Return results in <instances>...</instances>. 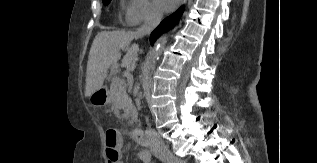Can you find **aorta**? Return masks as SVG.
<instances>
[{
	"label": "aorta",
	"instance_id": "1",
	"mask_svg": "<svg viewBox=\"0 0 317 163\" xmlns=\"http://www.w3.org/2000/svg\"><path fill=\"white\" fill-rule=\"evenodd\" d=\"M168 40L167 35H162L154 44V47L149 54V62L145 68V73L147 74L156 64L158 56L161 54L163 48L165 47Z\"/></svg>",
	"mask_w": 317,
	"mask_h": 163
}]
</instances>
